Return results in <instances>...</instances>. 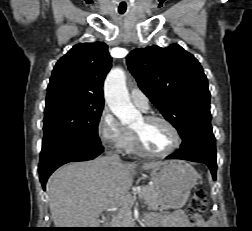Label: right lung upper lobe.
Masks as SVG:
<instances>
[{"mask_svg": "<svg viewBox=\"0 0 252 231\" xmlns=\"http://www.w3.org/2000/svg\"><path fill=\"white\" fill-rule=\"evenodd\" d=\"M108 47L103 42L73 46L55 65L47 88V99L68 96L102 103L104 79L111 68Z\"/></svg>", "mask_w": 252, "mask_h": 231, "instance_id": "right-lung-upper-lobe-1", "label": "right lung upper lobe"}]
</instances>
